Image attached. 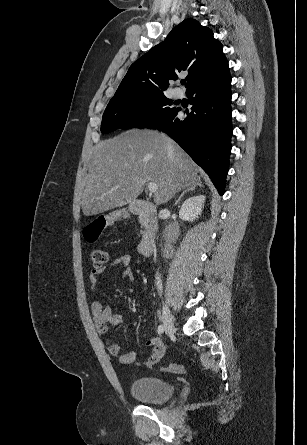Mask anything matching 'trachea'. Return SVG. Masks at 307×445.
Wrapping results in <instances>:
<instances>
[{
	"mask_svg": "<svg viewBox=\"0 0 307 445\" xmlns=\"http://www.w3.org/2000/svg\"><path fill=\"white\" fill-rule=\"evenodd\" d=\"M181 84H182V85H185V80H181Z\"/></svg>",
	"mask_w": 307,
	"mask_h": 445,
	"instance_id": "1",
	"label": "trachea"
}]
</instances>
